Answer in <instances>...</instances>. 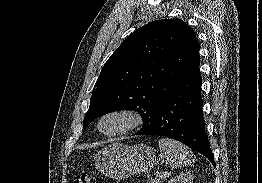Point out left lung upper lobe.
<instances>
[{"mask_svg": "<svg viewBox=\"0 0 262 183\" xmlns=\"http://www.w3.org/2000/svg\"><path fill=\"white\" fill-rule=\"evenodd\" d=\"M194 31L179 19L151 22L130 34L97 79L83 128L121 109L136 110L148 127L160 104L200 59Z\"/></svg>", "mask_w": 262, "mask_h": 183, "instance_id": "5c2ea615", "label": "left lung upper lobe"}]
</instances>
